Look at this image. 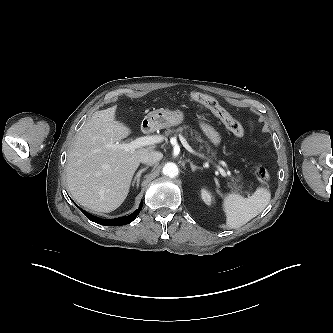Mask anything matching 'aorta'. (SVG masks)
Masks as SVG:
<instances>
[{
	"mask_svg": "<svg viewBox=\"0 0 333 333\" xmlns=\"http://www.w3.org/2000/svg\"><path fill=\"white\" fill-rule=\"evenodd\" d=\"M162 172L165 176L174 178L178 175L179 169L178 166L173 162H168L164 165Z\"/></svg>",
	"mask_w": 333,
	"mask_h": 333,
	"instance_id": "obj_1",
	"label": "aorta"
}]
</instances>
